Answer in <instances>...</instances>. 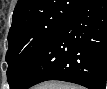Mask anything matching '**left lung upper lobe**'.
Returning <instances> with one entry per match:
<instances>
[{
	"label": "left lung upper lobe",
	"mask_w": 107,
	"mask_h": 89,
	"mask_svg": "<svg viewBox=\"0 0 107 89\" xmlns=\"http://www.w3.org/2000/svg\"><path fill=\"white\" fill-rule=\"evenodd\" d=\"M86 0H18L8 34L7 80L10 89L27 72L57 29Z\"/></svg>",
	"instance_id": "1"
}]
</instances>
